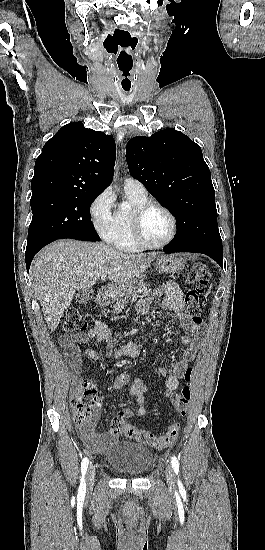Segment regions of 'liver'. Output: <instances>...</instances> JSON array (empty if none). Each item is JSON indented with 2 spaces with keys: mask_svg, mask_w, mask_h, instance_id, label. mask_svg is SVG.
<instances>
[{
  "mask_svg": "<svg viewBox=\"0 0 265 550\" xmlns=\"http://www.w3.org/2000/svg\"><path fill=\"white\" fill-rule=\"evenodd\" d=\"M152 260L150 256L126 255L101 242L64 239L43 248L30 274L48 327L55 331L76 291L92 288L108 274L114 292L121 296Z\"/></svg>",
  "mask_w": 265,
  "mask_h": 550,
  "instance_id": "obj_1",
  "label": "liver"
}]
</instances>
